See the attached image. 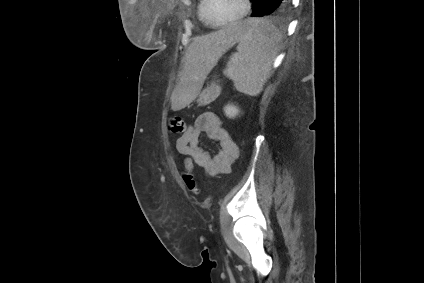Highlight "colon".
<instances>
[{"label":"colon","mask_w":424,"mask_h":283,"mask_svg":"<svg viewBox=\"0 0 424 283\" xmlns=\"http://www.w3.org/2000/svg\"><path fill=\"white\" fill-rule=\"evenodd\" d=\"M185 129H186L185 122L182 117L172 116L169 119V130L172 133L174 134L183 133ZM193 168H194V165L192 164V162L189 160H186L184 163L183 180L189 191H191L194 194H198L199 188L197 186V183L193 175Z\"/></svg>","instance_id":"5ec220e1"}]
</instances>
